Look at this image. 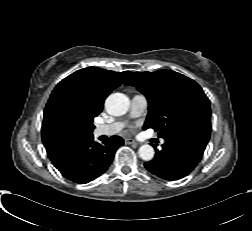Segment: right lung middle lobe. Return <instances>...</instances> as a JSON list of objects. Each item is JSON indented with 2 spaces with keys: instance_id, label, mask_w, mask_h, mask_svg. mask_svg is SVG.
I'll use <instances>...</instances> for the list:
<instances>
[{
  "instance_id": "dd1d6c3e",
  "label": "right lung middle lobe",
  "mask_w": 252,
  "mask_h": 231,
  "mask_svg": "<svg viewBox=\"0 0 252 231\" xmlns=\"http://www.w3.org/2000/svg\"><path fill=\"white\" fill-rule=\"evenodd\" d=\"M48 122L51 131L64 140H76L91 135L94 129L93 119L80 114L65 100L52 105Z\"/></svg>"
}]
</instances>
